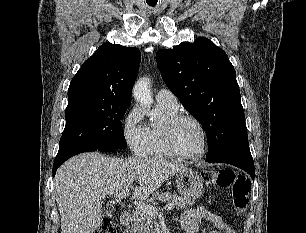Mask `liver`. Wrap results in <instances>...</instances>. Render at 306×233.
Returning a JSON list of instances; mask_svg holds the SVG:
<instances>
[{"mask_svg":"<svg viewBox=\"0 0 306 233\" xmlns=\"http://www.w3.org/2000/svg\"><path fill=\"white\" fill-rule=\"evenodd\" d=\"M188 170L162 159L111 158L83 153L65 162L54 179L61 233H93L102 222V198L132 188L136 199L153 194L169 177Z\"/></svg>","mask_w":306,"mask_h":233,"instance_id":"6515ba94","label":"liver"}]
</instances>
